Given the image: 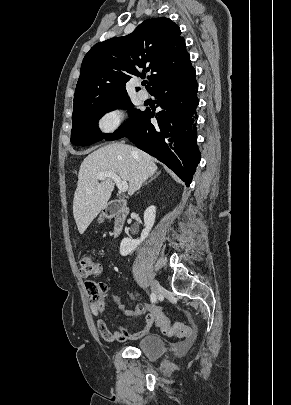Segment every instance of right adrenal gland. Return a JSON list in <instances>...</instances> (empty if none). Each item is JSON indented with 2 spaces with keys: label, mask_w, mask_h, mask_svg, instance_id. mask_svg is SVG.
<instances>
[{
  "label": "right adrenal gland",
  "mask_w": 291,
  "mask_h": 405,
  "mask_svg": "<svg viewBox=\"0 0 291 405\" xmlns=\"http://www.w3.org/2000/svg\"><path fill=\"white\" fill-rule=\"evenodd\" d=\"M158 174H159V172L156 175L151 176V178L145 184H147L148 182H151L152 180H154Z\"/></svg>",
  "instance_id": "obj_1"
}]
</instances>
